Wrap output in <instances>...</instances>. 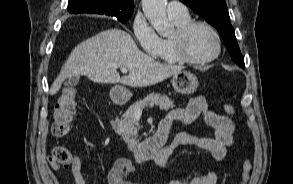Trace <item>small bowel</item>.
Instances as JSON below:
<instances>
[{"instance_id":"obj_1","label":"small bowel","mask_w":293,"mask_h":184,"mask_svg":"<svg viewBox=\"0 0 293 184\" xmlns=\"http://www.w3.org/2000/svg\"><path fill=\"white\" fill-rule=\"evenodd\" d=\"M170 122L178 121L183 124H191L198 119L214 130V137H204L190 133L176 135L165 149L154 159L159 169L167 167L169 158L180 146L194 145L209 151L213 158L222 161L228 148L234 143L235 125L232 120L224 115L211 111L203 96L190 99L185 107L171 110L164 118ZM55 170L67 171L74 184H87L81 173V158L78 154L71 157L69 163L60 165L50 163ZM134 171L131 161L127 158H118L107 172L108 184H139L129 177ZM218 178L214 171L205 174L186 177L182 180L169 179L163 184H217Z\"/></svg>"}]
</instances>
